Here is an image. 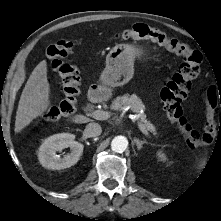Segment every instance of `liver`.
<instances>
[{
	"mask_svg": "<svg viewBox=\"0 0 221 221\" xmlns=\"http://www.w3.org/2000/svg\"><path fill=\"white\" fill-rule=\"evenodd\" d=\"M50 86L47 80V62L41 61L32 71L19 100L16 112L15 132L18 133L49 108ZM74 123H87L89 118L77 114Z\"/></svg>",
	"mask_w": 221,
	"mask_h": 221,
	"instance_id": "obj_1",
	"label": "liver"
}]
</instances>
